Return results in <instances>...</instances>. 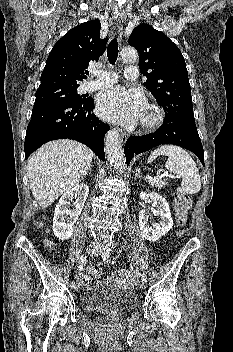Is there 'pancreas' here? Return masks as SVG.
Segmentation results:
<instances>
[{
    "label": "pancreas",
    "instance_id": "1",
    "mask_svg": "<svg viewBox=\"0 0 233 352\" xmlns=\"http://www.w3.org/2000/svg\"><path fill=\"white\" fill-rule=\"evenodd\" d=\"M153 187H156L158 189L164 188L168 185V183L166 182V180H159L157 182H149Z\"/></svg>",
    "mask_w": 233,
    "mask_h": 352
}]
</instances>
